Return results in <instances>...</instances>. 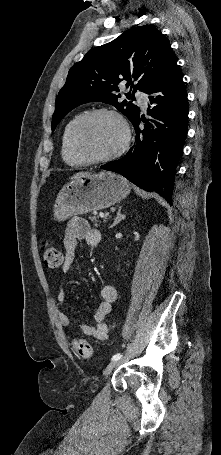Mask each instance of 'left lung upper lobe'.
Masks as SVG:
<instances>
[{
    "label": "left lung upper lobe",
    "instance_id": "1",
    "mask_svg": "<svg viewBox=\"0 0 221 455\" xmlns=\"http://www.w3.org/2000/svg\"><path fill=\"white\" fill-rule=\"evenodd\" d=\"M176 62L168 40L151 25L134 27L91 49L69 70L56 98L52 131L68 112L87 102L111 104L132 122L140 113L132 104L136 90L148 93ZM119 83L133 87V95L126 94L129 102L118 101Z\"/></svg>",
    "mask_w": 221,
    "mask_h": 455
}]
</instances>
